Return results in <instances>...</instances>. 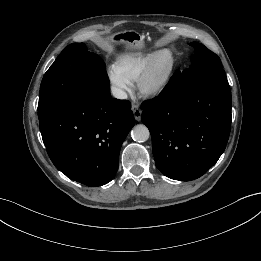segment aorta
Listing matches in <instances>:
<instances>
[{
  "label": "aorta",
  "instance_id": "762f6f07",
  "mask_svg": "<svg viewBox=\"0 0 261 261\" xmlns=\"http://www.w3.org/2000/svg\"><path fill=\"white\" fill-rule=\"evenodd\" d=\"M131 136L134 141L138 143H142L149 139L150 132L145 125L138 124L134 126V128L132 129Z\"/></svg>",
  "mask_w": 261,
  "mask_h": 261
}]
</instances>
